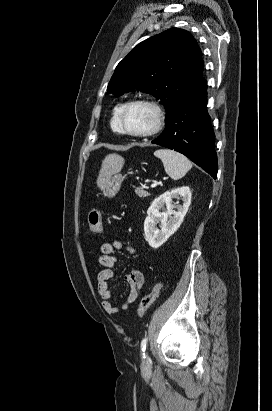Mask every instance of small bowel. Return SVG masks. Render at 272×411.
<instances>
[{"mask_svg": "<svg viewBox=\"0 0 272 411\" xmlns=\"http://www.w3.org/2000/svg\"><path fill=\"white\" fill-rule=\"evenodd\" d=\"M115 250H126L130 254H136L135 248L122 240L103 243L100 246L101 255L98 261L104 268L98 275V293L102 299V307L109 315H116L119 311L118 307L110 302L112 296L110 281L114 277V267L117 263ZM126 280L130 286V292L121 305L123 311H128L140 297L145 277L141 270L134 268L127 273Z\"/></svg>", "mask_w": 272, "mask_h": 411, "instance_id": "obj_1", "label": "small bowel"}]
</instances>
